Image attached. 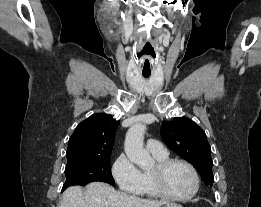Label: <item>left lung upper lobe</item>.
Masks as SVG:
<instances>
[{
  "label": "left lung upper lobe",
  "mask_w": 261,
  "mask_h": 207,
  "mask_svg": "<svg viewBox=\"0 0 261 207\" xmlns=\"http://www.w3.org/2000/svg\"><path fill=\"white\" fill-rule=\"evenodd\" d=\"M161 136L171 150L193 164L205 184H213L210 145L196 123L186 117H176L162 124Z\"/></svg>",
  "instance_id": "left-lung-upper-lobe-1"
}]
</instances>
